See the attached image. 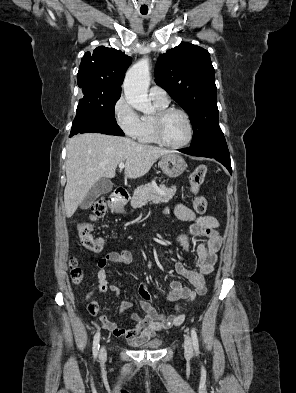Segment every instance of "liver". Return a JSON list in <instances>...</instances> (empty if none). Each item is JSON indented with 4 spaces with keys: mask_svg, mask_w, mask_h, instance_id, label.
<instances>
[{
    "mask_svg": "<svg viewBox=\"0 0 296 393\" xmlns=\"http://www.w3.org/2000/svg\"><path fill=\"white\" fill-rule=\"evenodd\" d=\"M170 150L143 145L132 139L100 133L72 137L67 144L64 190L66 216L71 217L89 190L101 178H113L117 165L125 162V176L139 178Z\"/></svg>",
    "mask_w": 296,
    "mask_h": 393,
    "instance_id": "6515ba94",
    "label": "liver"
}]
</instances>
